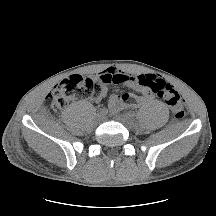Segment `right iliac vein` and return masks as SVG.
Returning <instances> with one entry per match:
<instances>
[{"label": "right iliac vein", "mask_w": 216, "mask_h": 216, "mask_svg": "<svg viewBox=\"0 0 216 216\" xmlns=\"http://www.w3.org/2000/svg\"><path fill=\"white\" fill-rule=\"evenodd\" d=\"M104 119H105L104 115H102V114H100V113L97 114V116H96V122H97V123L103 122Z\"/></svg>", "instance_id": "63e3f726"}]
</instances>
